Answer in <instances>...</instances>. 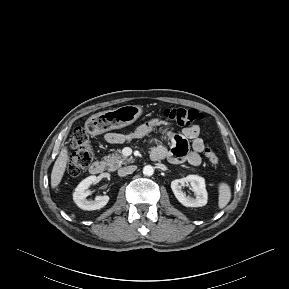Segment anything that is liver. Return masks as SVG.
<instances>
[{
  "label": "liver",
  "instance_id": "obj_1",
  "mask_svg": "<svg viewBox=\"0 0 289 289\" xmlns=\"http://www.w3.org/2000/svg\"><path fill=\"white\" fill-rule=\"evenodd\" d=\"M69 160L67 147H63L59 156L57 157L55 164L51 172V187L56 189L61 183L63 175L66 170L67 162Z\"/></svg>",
  "mask_w": 289,
  "mask_h": 289
}]
</instances>
